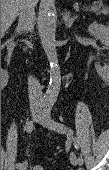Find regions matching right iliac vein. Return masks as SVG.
<instances>
[{
  "label": "right iliac vein",
  "mask_w": 109,
  "mask_h": 170,
  "mask_svg": "<svg viewBox=\"0 0 109 170\" xmlns=\"http://www.w3.org/2000/svg\"><path fill=\"white\" fill-rule=\"evenodd\" d=\"M31 117L33 120L37 119V117H38L37 110H35V109L31 110ZM26 168H27V162L25 161L21 164V166L18 167V170H26Z\"/></svg>",
  "instance_id": "obj_1"
}]
</instances>
